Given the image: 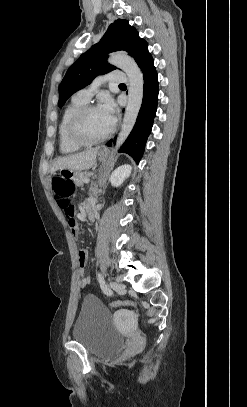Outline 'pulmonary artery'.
<instances>
[{
    "label": "pulmonary artery",
    "mask_w": 247,
    "mask_h": 407,
    "mask_svg": "<svg viewBox=\"0 0 247 407\" xmlns=\"http://www.w3.org/2000/svg\"><path fill=\"white\" fill-rule=\"evenodd\" d=\"M106 80L109 82H112V83H125L127 81V76L123 72L112 71L107 76L96 78L95 81L90 86L77 91L74 95V98L84 101V102H88L91 99V97L93 96V93L96 91L98 86L103 81H106Z\"/></svg>",
    "instance_id": "pulmonary-artery-1"
}]
</instances>
